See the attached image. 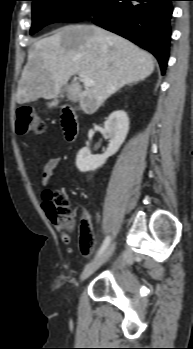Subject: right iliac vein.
Returning <instances> with one entry per match:
<instances>
[{
  "label": "right iliac vein",
  "instance_id": "1",
  "mask_svg": "<svg viewBox=\"0 0 193 349\" xmlns=\"http://www.w3.org/2000/svg\"><path fill=\"white\" fill-rule=\"evenodd\" d=\"M114 249H115V243H112L98 259H96L95 261L87 265L80 276V280L83 281L87 279L96 270H98L109 259Z\"/></svg>",
  "mask_w": 193,
  "mask_h": 349
}]
</instances>
